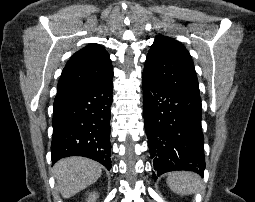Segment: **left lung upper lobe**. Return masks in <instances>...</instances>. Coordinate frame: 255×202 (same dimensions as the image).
Segmentation results:
<instances>
[{
	"mask_svg": "<svg viewBox=\"0 0 255 202\" xmlns=\"http://www.w3.org/2000/svg\"><path fill=\"white\" fill-rule=\"evenodd\" d=\"M143 76L169 89L199 95L194 64L184 45L157 36L146 58Z\"/></svg>",
	"mask_w": 255,
	"mask_h": 202,
	"instance_id": "1",
	"label": "left lung upper lobe"
}]
</instances>
